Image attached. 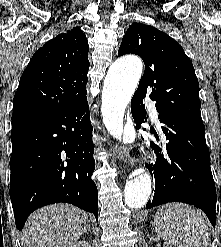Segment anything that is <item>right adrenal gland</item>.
<instances>
[{"label": "right adrenal gland", "mask_w": 221, "mask_h": 247, "mask_svg": "<svg viewBox=\"0 0 221 247\" xmlns=\"http://www.w3.org/2000/svg\"><path fill=\"white\" fill-rule=\"evenodd\" d=\"M86 232H90V226L88 227V229L86 230Z\"/></svg>", "instance_id": "2a0ac1e0"}]
</instances>
